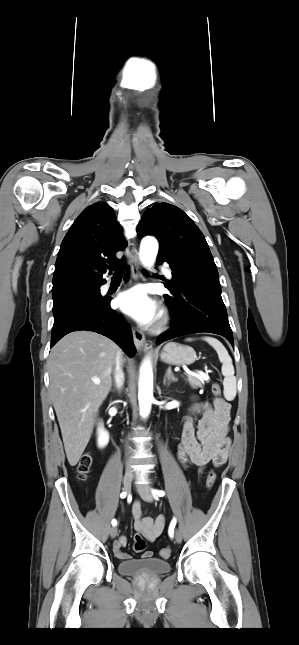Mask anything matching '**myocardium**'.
<instances>
[{
	"instance_id": "obj_1",
	"label": "myocardium",
	"mask_w": 299,
	"mask_h": 645,
	"mask_svg": "<svg viewBox=\"0 0 299 645\" xmlns=\"http://www.w3.org/2000/svg\"><path fill=\"white\" fill-rule=\"evenodd\" d=\"M167 321H168L167 317L165 315H162L160 320H159V322H158V324H157V326H156V330L163 329L166 326Z\"/></svg>"
}]
</instances>
